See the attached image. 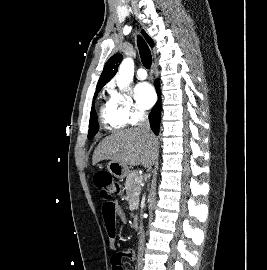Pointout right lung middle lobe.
Returning <instances> with one entry per match:
<instances>
[{"label":"right lung middle lobe","instance_id":"obj_1","mask_svg":"<svg viewBox=\"0 0 267 270\" xmlns=\"http://www.w3.org/2000/svg\"><path fill=\"white\" fill-rule=\"evenodd\" d=\"M98 92L99 91L95 92L94 99L96 98ZM98 130H99V124L97 121V115H96L95 106L93 102L92 108H91V114H90L88 138L89 139L93 138L95 134L98 132Z\"/></svg>","mask_w":267,"mask_h":270}]
</instances>
